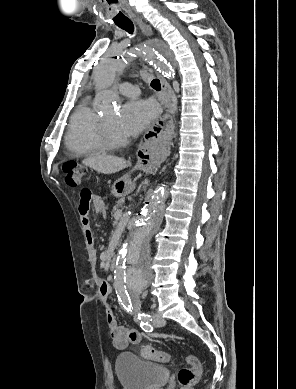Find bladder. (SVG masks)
Returning <instances> with one entry per match:
<instances>
[{
    "instance_id": "1",
    "label": "bladder",
    "mask_w": 296,
    "mask_h": 389,
    "mask_svg": "<svg viewBox=\"0 0 296 389\" xmlns=\"http://www.w3.org/2000/svg\"><path fill=\"white\" fill-rule=\"evenodd\" d=\"M115 369L123 389H160L170 376L166 367L143 361L130 352L117 356Z\"/></svg>"
}]
</instances>
